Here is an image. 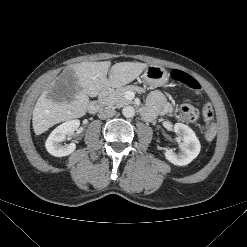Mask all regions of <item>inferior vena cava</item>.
Wrapping results in <instances>:
<instances>
[{
  "mask_svg": "<svg viewBox=\"0 0 247 247\" xmlns=\"http://www.w3.org/2000/svg\"><path fill=\"white\" fill-rule=\"evenodd\" d=\"M116 110L113 108H104L101 109L98 113L100 119H106L115 116Z\"/></svg>",
  "mask_w": 247,
  "mask_h": 247,
  "instance_id": "1",
  "label": "inferior vena cava"
}]
</instances>
